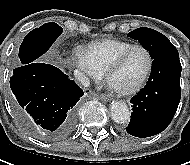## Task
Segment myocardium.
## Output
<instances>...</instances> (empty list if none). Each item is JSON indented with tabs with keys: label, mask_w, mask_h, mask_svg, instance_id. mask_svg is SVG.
<instances>
[{
	"label": "myocardium",
	"mask_w": 190,
	"mask_h": 165,
	"mask_svg": "<svg viewBox=\"0 0 190 165\" xmlns=\"http://www.w3.org/2000/svg\"><path fill=\"white\" fill-rule=\"evenodd\" d=\"M135 49H141L147 54V57H148L147 69H146L143 77L139 80V82H137L132 87L124 88V89L118 88L111 83V78H112L113 74L117 71V69L120 67V65L123 62L126 55ZM153 65H154V58H153L151 51L147 47L140 45V44L132 45V46L124 49L123 51H121L116 56V58L113 60V62L110 64L107 71L105 72V82L110 89H112L114 92H116L119 95L125 96V95L134 94V93L138 92L145 85L146 81L148 80V78L152 72Z\"/></svg>",
	"instance_id": "f54148a6"
}]
</instances>
